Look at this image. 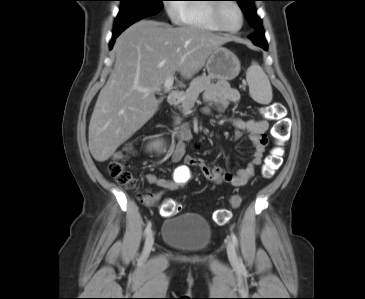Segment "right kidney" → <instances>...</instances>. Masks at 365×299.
<instances>
[{"mask_svg":"<svg viewBox=\"0 0 365 299\" xmlns=\"http://www.w3.org/2000/svg\"><path fill=\"white\" fill-rule=\"evenodd\" d=\"M154 147H155V148H159V147H160V143H159V142L155 143V144H154Z\"/></svg>","mask_w":365,"mask_h":299,"instance_id":"right-kidney-1","label":"right kidney"}]
</instances>
